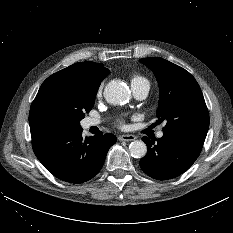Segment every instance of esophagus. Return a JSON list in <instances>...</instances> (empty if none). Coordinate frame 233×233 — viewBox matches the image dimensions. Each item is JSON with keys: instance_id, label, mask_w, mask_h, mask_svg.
I'll return each instance as SVG.
<instances>
[{"instance_id": "obj_1", "label": "esophagus", "mask_w": 233, "mask_h": 233, "mask_svg": "<svg viewBox=\"0 0 233 233\" xmlns=\"http://www.w3.org/2000/svg\"><path fill=\"white\" fill-rule=\"evenodd\" d=\"M118 139L120 141H133L136 139V137L134 135H131V134H124V135H120L118 137Z\"/></svg>"}]
</instances>
